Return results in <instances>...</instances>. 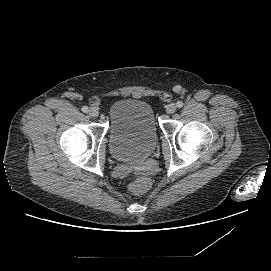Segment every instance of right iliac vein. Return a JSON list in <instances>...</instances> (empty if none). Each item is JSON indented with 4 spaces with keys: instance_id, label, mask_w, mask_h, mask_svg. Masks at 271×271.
<instances>
[{
    "instance_id": "63e3f726",
    "label": "right iliac vein",
    "mask_w": 271,
    "mask_h": 271,
    "mask_svg": "<svg viewBox=\"0 0 271 271\" xmlns=\"http://www.w3.org/2000/svg\"><path fill=\"white\" fill-rule=\"evenodd\" d=\"M89 115H90L91 117H98V115H99L98 109L95 108V107H91V108L89 109Z\"/></svg>"
}]
</instances>
